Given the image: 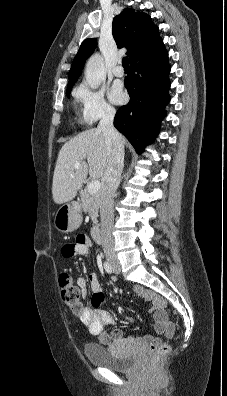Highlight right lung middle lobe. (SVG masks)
Segmentation results:
<instances>
[{"instance_id":"1","label":"right lung middle lobe","mask_w":227,"mask_h":396,"mask_svg":"<svg viewBox=\"0 0 227 396\" xmlns=\"http://www.w3.org/2000/svg\"><path fill=\"white\" fill-rule=\"evenodd\" d=\"M70 92H71V90H68V91H67V97L70 96Z\"/></svg>"}]
</instances>
